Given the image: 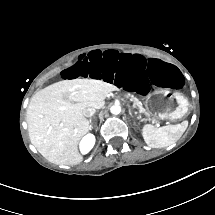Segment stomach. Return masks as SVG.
<instances>
[{
	"instance_id": "stomach-1",
	"label": "stomach",
	"mask_w": 215,
	"mask_h": 215,
	"mask_svg": "<svg viewBox=\"0 0 215 215\" xmlns=\"http://www.w3.org/2000/svg\"><path fill=\"white\" fill-rule=\"evenodd\" d=\"M145 107L155 118L176 121L187 115L189 103L183 94L162 89L147 97Z\"/></svg>"
}]
</instances>
